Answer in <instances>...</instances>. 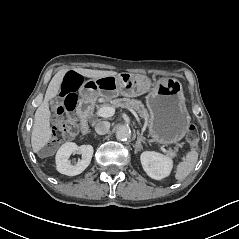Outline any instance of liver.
Listing matches in <instances>:
<instances>
[{
	"instance_id": "liver-1",
	"label": "liver",
	"mask_w": 239,
	"mask_h": 239,
	"mask_svg": "<svg viewBox=\"0 0 239 239\" xmlns=\"http://www.w3.org/2000/svg\"><path fill=\"white\" fill-rule=\"evenodd\" d=\"M69 68H62L53 76L47 87L44 100L37 108L34 114V123L31 134V145L33 153L37 154L42 150L52 139V114L49 109L48 101L59 94L63 79ZM75 72L86 78H102L108 76H117L119 72L112 70H95L76 67Z\"/></svg>"
}]
</instances>
